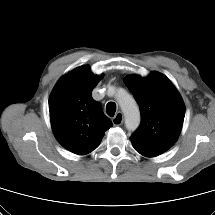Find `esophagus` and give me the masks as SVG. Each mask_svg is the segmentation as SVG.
I'll return each mask as SVG.
<instances>
[{"instance_id": "34e87169", "label": "esophagus", "mask_w": 215, "mask_h": 215, "mask_svg": "<svg viewBox=\"0 0 215 215\" xmlns=\"http://www.w3.org/2000/svg\"><path fill=\"white\" fill-rule=\"evenodd\" d=\"M124 120V116L122 112H117L116 115L112 118V123L115 126H120L122 125Z\"/></svg>"}]
</instances>
